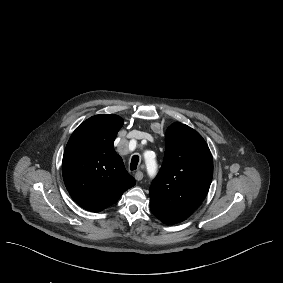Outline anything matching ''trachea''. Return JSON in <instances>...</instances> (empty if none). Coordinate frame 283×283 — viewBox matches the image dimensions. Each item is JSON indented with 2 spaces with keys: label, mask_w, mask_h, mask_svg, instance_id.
<instances>
[{
  "label": "trachea",
  "mask_w": 283,
  "mask_h": 283,
  "mask_svg": "<svg viewBox=\"0 0 283 283\" xmlns=\"http://www.w3.org/2000/svg\"><path fill=\"white\" fill-rule=\"evenodd\" d=\"M138 163H139V156L138 155H134L131 158V163H130V170H136L138 167Z\"/></svg>",
  "instance_id": "trachea-1"
}]
</instances>
